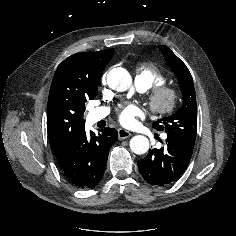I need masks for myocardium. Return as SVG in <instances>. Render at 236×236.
<instances>
[{
    "label": "myocardium",
    "mask_w": 236,
    "mask_h": 236,
    "mask_svg": "<svg viewBox=\"0 0 236 236\" xmlns=\"http://www.w3.org/2000/svg\"><path fill=\"white\" fill-rule=\"evenodd\" d=\"M178 99V89L169 85L154 86L147 96L149 109L158 116L170 114L176 107Z\"/></svg>",
    "instance_id": "f54148a6"
}]
</instances>
